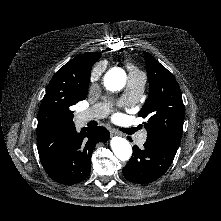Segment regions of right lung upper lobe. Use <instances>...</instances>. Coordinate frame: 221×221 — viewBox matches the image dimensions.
I'll list each match as a JSON object with an SVG mask.
<instances>
[{
    "label": "right lung upper lobe",
    "mask_w": 221,
    "mask_h": 221,
    "mask_svg": "<svg viewBox=\"0 0 221 221\" xmlns=\"http://www.w3.org/2000/svg\"><path fill=\"white\" fill-rule=\"evenodd\" d=\"M100 53L82 54L60 68L47 86L38 112L37 147L49 171L64 138L75 129L70 107L87 96L92 65ZM85 97V98H84Z\"/></svg>",
    "instance_id": "obj_1"
}]
</instances>
